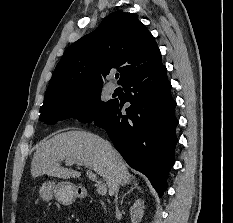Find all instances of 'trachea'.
I'll return each instance as SVG.
<instances>
[{"label":"trachea","mask_w":233,"mask_h":223,"mask_svg":"<svg viewBox=\"0 0 233 223\" xmlns=\"http://www.w3.org/2000/svg\"><path fill=\"white\" fill-rule=\"evenodd\" d=\"M115 77H116V78H119V73H116Z\"/></svg>","instance_id":"trachea-1"}]
</instances>
